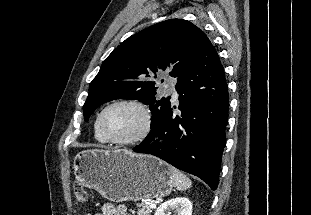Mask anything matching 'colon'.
I'll list each match as a JSON object with an SVG mask.
<instances>
[{
  "instance_id": "5ec220e1",
  "label": "colon",
  "mask_w": 311,
  "mask_h": 215,
  "mask_svg": "<svg viewBox=\"0 0 311 215\" xmlns=\"http://www.w3.org/2000/svg\"><path fill=\"white\" fill-rule=\"evenodd\" d=\"M74 199L77 204H84L87 201V192L82 186H75Z\"/></svg>"
}]
</instances>
